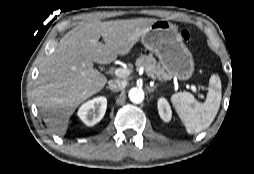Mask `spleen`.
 I'll return each instance as SVG.
<instances>
[{"instance_id":"1","label":"spleen","mask_w":254,"mask_h":174,"mask_svg":"<svg viewBox=\"0 0 254 174\" xmlns=\"http://www.w3.org/2000/svg\"><path fill=\"white\" fill-rule=\"evenodd\" d=\"M204 103H199L189 92H179L171 102L189 134L199 133L208 128L215 119L221 103V81L213 75Z\"/></svg>"}]
</instances>
